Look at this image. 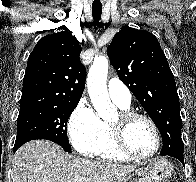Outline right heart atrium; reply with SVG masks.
Here are the masks:
<instances>
[{
	"instance_id": "obj_1",
	"label": "right heart atrium",
	"mask_w": 196,
	"mask_h": 182,
	"mask_svg": "<svg viewBox=\"0 0 196 182\" xmlns=\"http://www.w3.org/2000/svg\"><path fill=\"white\" fill-rule=\"evenodd\" d=\"M68 133L74 148L81 154H91L102 136V121L86 101H80L68 121Z\"/></svg>"
}]
</instances>
